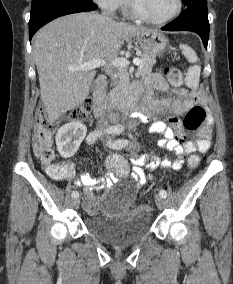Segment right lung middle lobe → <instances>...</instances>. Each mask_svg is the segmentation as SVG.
Masks as SVG:
<instances>
[{
	"label": "right lung middle lobe",
	"instance_id": "dd1d6c3e",
	"mask_svg": "<svg viewBox=\"0 0 233 284\" xmlns=\"http://www.w3.org/2000/svg\"><path fill=\"white\" fill-rule=\"evenodd\" d=\"M61 3H93V0H32L31 12L46 6Z\"/></svg>",
	"mask_w": 233,
	"mask_h": 284
}]
</instances>
